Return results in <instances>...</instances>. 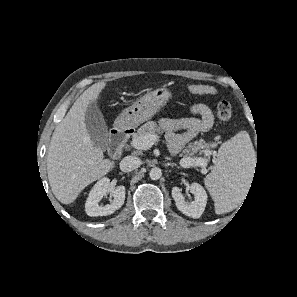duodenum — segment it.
Listing matches in <instances>:
<instances>
[{
  "label": "duodenum",
  "mask_w": 297,
  "mask_h": 297,
  "mask_svg": "<svg viewBox=\"0 0 297 297\" xmlns=\"http://www.w3.org/2000/svg\"><path fill=\"white\" fill-rule=\"evenodd\" d=\"M131 133V128L125 123H119L110 133L109 149L112 155L118 156Z\"/></svg>",
  "instance_id": "obj_1"
}]
</instances>
